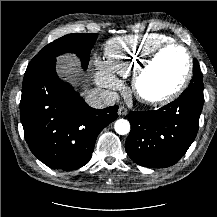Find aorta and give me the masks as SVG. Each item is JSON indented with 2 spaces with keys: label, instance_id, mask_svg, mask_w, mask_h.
Instances as JSON below:
<instances>
[{
  "label": "aorta",
  "instance_id": "762f6f07",
  "mask_svg": "<svg viewBox=\"0 0 217 217\" xmlns=\"http://www.w3.org/2000/svg\"><path fill=\"white\" fill-rule=\"evenodd\" d=\"M114 129L119 135H126L130 132V123L125 119H118L114 124Z\"/></svg>",
  "mask_w": 217,
  "mask_h": 217
}]
</instances>
